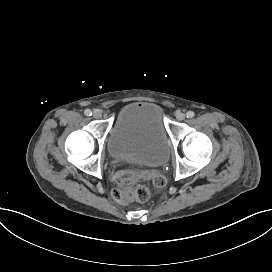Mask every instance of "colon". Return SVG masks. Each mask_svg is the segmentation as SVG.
<instances>
[{
  "instance_id": "5ec220e1",
  "label": "colon",
  "mask_w": 272,
  "mask_h": 272,
  "mask_svg": "<svg viewBox=\"0 0 272 272\" xmlns=\"http://www.w3.org/2000/svg\"><path fill=\"white\" fill-rule=\"evenodd\" d=\"M135 170L124 171L116 178L119 181L114 189L113 195L119 204H129L133 199L137 202H146L150 198V191L153 186H164L166 178L158 174L153 178V186L137 184V175Z\"/></svg>"
}]
</instances>
